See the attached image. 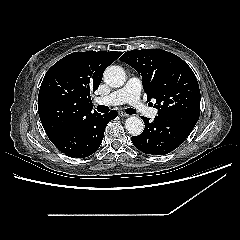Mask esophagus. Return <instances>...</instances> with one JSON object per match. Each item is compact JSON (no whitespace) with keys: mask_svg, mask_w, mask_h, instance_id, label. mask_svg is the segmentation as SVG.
Here are the masks:
<instances>
[{"mask_svg":"<svg viewBox=\"0 0 240 240\" xmlns=\"http://www.w3.org/2000/svg\"><path fill=\"white\" fill-rule=\"evenodd\" d=\"M119 116L128 117L129 115L127 113H125L124 111H119Z\"/></svg>","mask_w":240,"mask_h":240,"instance_id":"esophagus-1","label":"esophagus"}]
</instances>
